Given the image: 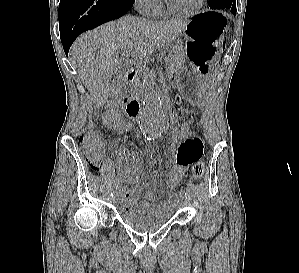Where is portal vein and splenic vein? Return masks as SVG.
<instances>
[{"label": "portal vein and splenic vein", "mask_w": 299, "mask_h": 273, "mask_svg": "<svg viewBox=\"0 0 299 273\" xmlns=\"http://www.w3.org/2000/svg\"><path fill=\"white\" fill-rule=\"evenodd\" d=\"M117 56L124 57V56H125V54H123V53H117Z\"/></svg>", "instance_id": "1"}]
</instances>
